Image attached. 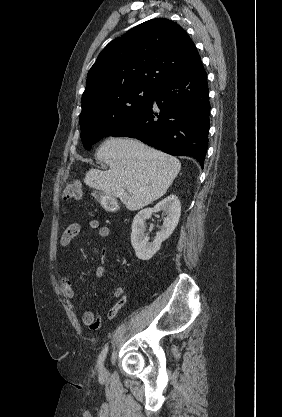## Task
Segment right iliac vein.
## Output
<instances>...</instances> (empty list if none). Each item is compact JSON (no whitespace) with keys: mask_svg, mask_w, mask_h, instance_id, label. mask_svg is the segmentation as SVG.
Wrapping results in <instances>:
<instances>
[{"mask_svg":"<svg viewBox=\"0 0 282 417\" xmlns=\"http://www.w3.org/2000/svg\"><path fill=\"white\" fill-rule=\"evenodd\" d=\"M104 371H105L104 369L101 370V372H104Z\"/></svg>","mask_w":282,"mask_h":417,"instance_id":"right-iliac-vein-1","label":"right iliac vein"}]
</instances>
